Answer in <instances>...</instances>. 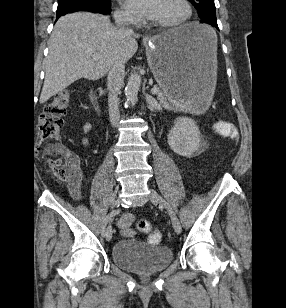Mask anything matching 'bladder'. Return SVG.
<instances>
[{
  "label": "bladder",
  "instance_id": "31cf9c89",
  "mask_svg": "<svg viewBox=\"0 0 286 308\" xmlns=\"http://www.w3.org/2000/svg\"><path fill=\"white\" fill-rule=\"evenodd\" d=\"M111 257L125 270L146 274L166 268L173 259V251L167 246L147 245L137 239H121L113 244Z\"/></svg>",
  "mask_w": 286,
  "mask_h": 308
}]
</instances>
